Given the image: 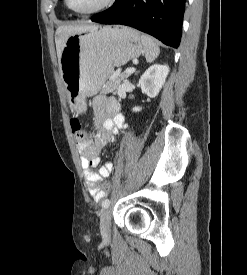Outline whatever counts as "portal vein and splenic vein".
Wrapping results in <instances>:
<instances>
[{"label": "portal vein and splenic vein", "mask_w": 247, "mask_h": 275, "mask_svg": "<svg viewBox=\"0 0 247 275\" xmlns=\"http://www.w3.org/2000/svg\"><path fill=\"white\" fill-rule=\"evenodd\" d=\"M135 72V68H127L126 70H125V73H127V74H132V73H134Z\"/></svg>", "instance_id": "18ae733b"}]
</instances>
